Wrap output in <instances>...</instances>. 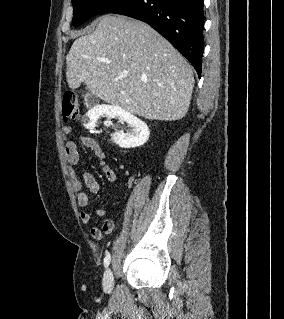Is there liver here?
Instances as JSON below:
<instances>
[{
	"label": "liver",
	"instance_id": "6515ba94",
	"mask_svg": "<svg viewBox=\"0 0 284 319\" xmlns=\"http://www.w3.org/2000/svg\"><path fill=\"white\" fill-rule=\"evenodd\" d=\"M66 64L71 89L85 83L90 94L132 114L175 121L188 111L194 87L191 66L141 21L102 16L91 34L74 41Z\"/></svg>",
	"mask_w": 284,
	"mask_h": 319
}]
</instances>
